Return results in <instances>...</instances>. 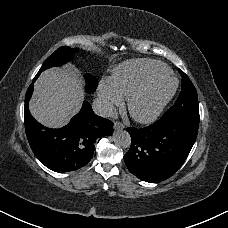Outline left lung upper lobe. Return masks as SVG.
I'll list each match as a JSON object with an SVG mask.
<instances>
[{
	"label": "left lung upper lobe",
	"instance_id": "5c2ea615",
	"mask_svg": "<svg viewBox=\"0 0 228 228\" xmlns=\"http://www.w3.org/2000/svg\"><path fill=\"white\" fill-rule=\"evenodd\" d=\"M182 76V91L175 104L159 119L163 123L189 122L199 125L198 97L188 76L178 69Z\"/></svg>",
	"mask_w": 228,
	"mask_h": 228
}]
</instances>
